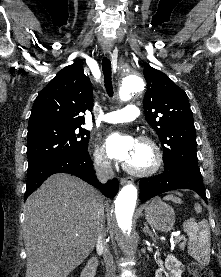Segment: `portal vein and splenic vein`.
<instances>
[{"mask_svg":"<svg viewBox=\"0 0 221 277\" xmlns=\"http://www.w3.org/2000/svg\"><path fill=\"white\" fill-rule=\"evenodd\" d=\"M173 235L175 236V241L176 242H180V241L185 239V236L184 235H180L179 232H175V233H173Z\"/></svg>","mask_w":221,"mask_h":277,"instance_id":"18ae733b","label":"portal vein and splenic vein"}]
</instances>
